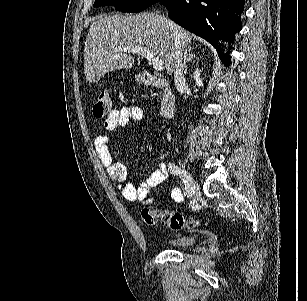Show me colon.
Masks as SVG:
<instances>
[{
    "label": "colon",
    "instance_id": "obj_1",
    "mask_svg": "<svg viewBox=\"0 0 307 301\" xmlns=\"http://www.w3.org/2000/svg\"><path fill=\"white\" fill-rule=\"evenodd\" d=\"M111 109V99L107 91H102L93 107V114L97 118H102L108 114ZM143 221L154 226L161 223L172 230H180L182 228H193L198 221L193 218H185L182 214L173 211H161L155 208L146 207L141 212Z\"/></svg>",
    "mask_w": 307,
    "mask_h": 301
}]
</instances>
